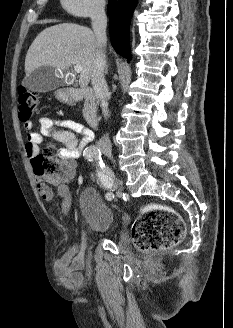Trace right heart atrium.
<instances>
[{"label": "right heart atrium", "instance_id": "d8ad5b80", "mask_svg": "<svg viewBox=\"0 0 233 328\" xmlns=\"http://www.w3.org/2000/svg\"><path fill=\"white\" fill-rule=\"evenodd\" d=\"M65 10L76 17H93L103 13L105 0H61Z\"/></svg>", "mask_w": 233, "mask_h": 328}]
</instances>
